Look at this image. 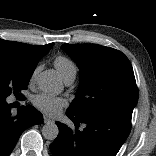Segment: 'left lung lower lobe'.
Returning a JSON list of instances; mask_svg holds the SVG:
<instances>
[{"label": "left lung lower lobe", "mask_w": 156, "mask_h": 156, "mask_svg": "<svg viewBox=\"0 0 156 156\" xmlns=\"http://www.w3.org/2000/svg\"><path fill=\"white\" fill-rule=\"evenodd\" d=\"M75 123H85L83 131L72 130L56 122L59 134L50 145L53 156H115L131 130V117L105 111L78 116L66 111Z\"/></svg>", "instance_id": "0a47b994"}]
</instances>
